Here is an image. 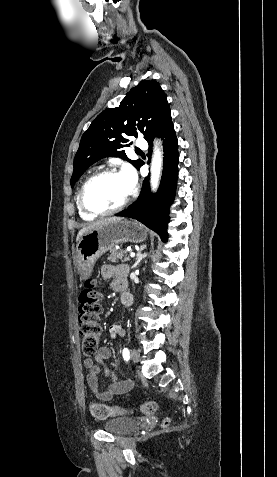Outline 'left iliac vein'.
Here are the masks:
<instances>
[{
    "instance_id": "left-iliac-vein-1",
    "label": "left iliac vein",
    "mask_w": 277,
    "mask_h": 477,
    "mask_svg": "<svg viewBox=\"0 0 277 477\" xmlns=\"http://www.w3.org/2000/svg\"><path fill=\"white\" fill-rule=\"evenodd\" d=\"M131 359L133 362L138 363L140 361V352L136 349L131 351Z\"/></svg>"
}]
</instances>
